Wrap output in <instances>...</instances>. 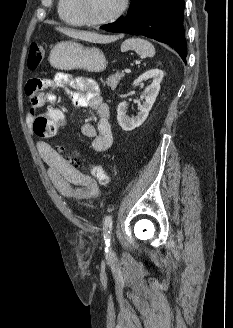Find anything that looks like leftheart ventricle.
I'll return each mask as SVG.
<instances>
[{"mask_svg":"<svg viewBox=\"0 0 233 328\" xmlns=\"http://www.w3.org/2000/svg\"><path fill=\"white\" fill-rule=\"evenodd\" d=\"M87 14L92 19H103L115 12L121 0H84Z\"/></svg>","mask_w":233,"mask_h":328,"instance_id":"left-heart-ventricle-1","label":"left heart ventricle"}]
</instances>
